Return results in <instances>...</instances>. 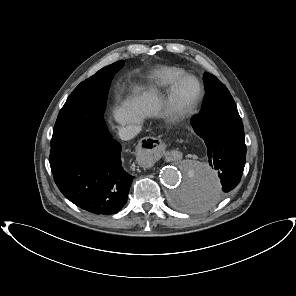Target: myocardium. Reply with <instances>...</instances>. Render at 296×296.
Returning <instances> with one entry per match:
<instances>
[{"label":"myocardium","instance_id":"f54148a6","mask_svg":"<svg viewBox=\"0 0 296 296\" xmlns=\"http://www.w3.org/2000/svg\"><path fill=\"white\" fill-rule=\"evenodd\" d=\"M187 80H192L197 86L196 95L189 101L182 102L178 99L177 92L180 86ZM203 96L201 82L193 75H183L178 78L169 88L167 93V108L172 116L179 117L191 112L200 102Z\"/></svg>","mask_w":296,"mask_h":296}]
</instances>
